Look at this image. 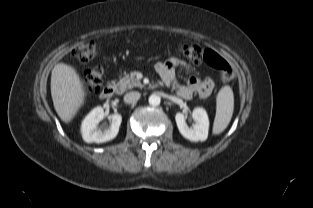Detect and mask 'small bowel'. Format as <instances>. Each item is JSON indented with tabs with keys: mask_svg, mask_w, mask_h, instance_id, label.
I'll use <instances>...</instances> for the list:
<instances>
[{
	"mask_svg": "<svg viewBox=\"0 0 313 208\" xmlns=\"http://www.w3.org/2000/svg\"><path fill=\"white\" fill-rule=\"evenodd\" d=\"M178 66L187 68L183 61L173 57L157 63L156 71L165 85L172 86L176 90L177 95L183 99H190L195 94L205 98L211 94L214 83L210 78L201 79L196 75H191L186 84H179L175 76V69Z\"/></svg>",
	"mask_w": 313,
	"mask_h": 208,
	"instance_id": "obj_1",
	"label": "small bowel"
}]
</instances>
